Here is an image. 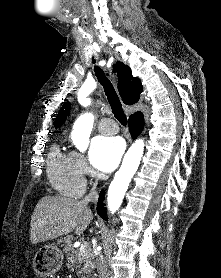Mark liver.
I'll use <instances>...</instances> for the list:
<instances>
[{"mask_svg": "<svg viewBox=\"0 0 221 278\" xmlns=\"http://www.w3.org/2000/svg\"><path fill=\"white\" fill-rule=\"evenodd\" d=\"M93 219L91 209L83 201L63 196H44L31 216L32 244L53 240L75 230L81 235Z\"/></svg>", "mask_w": 221, "mask_h": 278, "instance_id": "obj_1", "label": "liver"}]
</instances>
